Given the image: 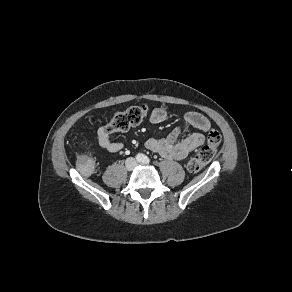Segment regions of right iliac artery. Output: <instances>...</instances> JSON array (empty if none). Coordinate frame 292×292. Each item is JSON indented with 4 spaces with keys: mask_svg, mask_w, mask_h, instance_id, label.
I'll return each mask as SVG.
<instances>
[{
    "mask_svg": "<svg viewBox=\"0 0 292 292\" xmlns=\"http://www.w3.org/2000/svg\"><path fill=\"white\" fill-rule=\"evenodd\" d=\"M136 159H137V161L141 162V161L143 160V155L138 154V155L136 156Z\"/></svg>",
    "mask_w": 292,
    "mask_h": 292,
    "instance_id": "82829eb1",
    "label": "right iliac artery"
}]
</instances>
